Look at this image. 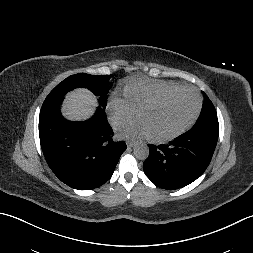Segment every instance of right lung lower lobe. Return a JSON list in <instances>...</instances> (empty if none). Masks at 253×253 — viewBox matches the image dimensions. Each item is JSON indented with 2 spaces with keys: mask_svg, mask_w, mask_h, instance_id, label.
I'll use <instances>...</instances> for the list:
<instances>
[{
  "mask_svg": "<svg viewBox=\"0 0 253 253\" xmlns=\"http://www.w3.org/2000/svg\"><path fill=\"white\" fill-rule=\"evenodd\" d=\"M62 97L45 100L39 116V137L45 159L53 173L68 186L90 190L113 174L124 141L112 140L113 130L103 108L91 119L66 120L60 112Z\"/></svg>",
  "mask_w": 253,
  "mask_h": 253,
  "instance_id": "right-lung-lower-lobe-1",
  "label": "right lung lower lobe"
}]
</instances>
